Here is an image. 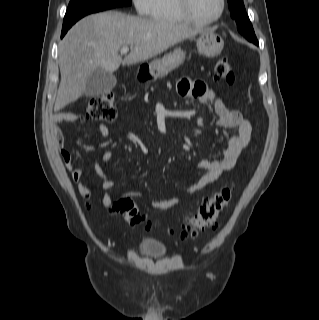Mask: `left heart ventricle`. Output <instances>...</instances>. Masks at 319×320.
<instances>
[{
    "label": "left heart ventricle",
    "mask_w": 319,
    "mask_h": 320,
    "mask_svg": "<svg viewBox=\"0 0 319 320\" xmlns=\"http://www.w3.org/2000/svg\"><path fill=\"white\" fill-rule=\"evenodd\" d=\"M194 15L203 20L214 18L220 9V0H191Z\"/></svg>",
    "instance_id": "b2bd125f"
}]
</instances>
